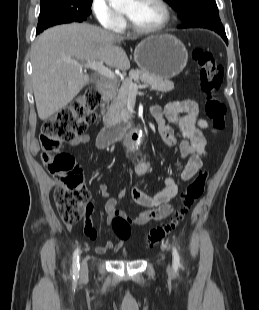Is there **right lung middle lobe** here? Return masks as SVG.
Segmentation results:
<instances>
[{
  "instance_id": "1",
  "label": "right lung middle lobe",
  "mask_w": 259,
  "mask_h": 310,
  "mask_svg": "<svg viewBox=\"0 0 259 310\" xmlns=\"http://www.w3.org/2000/svg\"><path fill=\"white\" fill-rule=\"evenodd\" d=\"M91 4L92 0H41L37 33L57 24L82 22Z\"/></svg>"
}]
</instances>
